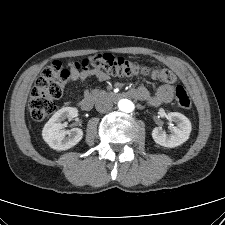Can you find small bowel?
I'll use <instances>...</instances> for the list:
<instances>
[{
    "label": "small bowel",
    "instance_id": "small-bowel-1",
    "mask_svg": "<svg viewBox=\"0 0 225 225\" xmlns=\"http://www.w3.org/2000/svg\"><path fill=\"white\" fill-rule=\"evenodd\" d=\"M90 78H94L103 82L108 79V76L106 73L98 69L84 68L79 70L73 68L70 71V79L72 82L84 81ZM133 92H135L133 97L147 101L149 104L157 106L160 104L169 103L172 100L174 87L171 84L160 85L153 95L145 87H139Z\"/></svg>",
    "mask_w": 225,
    "mask_h": 225
}]
</instances>
